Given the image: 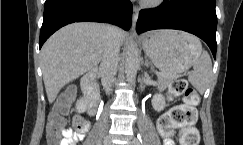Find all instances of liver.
<instances>
[{
    "label": "liver",
    "instance_id": "1",
    "mask_svg": "<svg viewBox=\"0 0 243 145\" xmlns=\"http://www.w3.org/2000/svg\"><path fill=\"white\" fill-rule=\"evenodd\" d=\"M107 25L74 23L52 35L41 50V69L49 103L60 90L87 71L97 67L103 57ZM120 44L125 41L118 32Z\"/></svg>",
    "mask_w": 243,
    "mask_h": 145
}]
</instances>
